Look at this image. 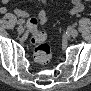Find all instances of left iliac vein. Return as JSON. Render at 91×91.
I'll list each match as a JSON object with an SVG mask.
<instances>
[{
  "instance_id": "left-iliac-vein-1",
  "label": "left iliac vein",
  "mask_w": 91,
  "mask_h": 91,
  "mask_svg": "<svg viewBox=\"0 0 91 91\" xmlns=\"http://www.w3.org/2000/svg\"><path fill=\"white\" fill-rule=\"evenodd\" d=\"M69 34L72 37H77L78 36V31L76 29H69Z\"/></svg>"
}]
</instances>
